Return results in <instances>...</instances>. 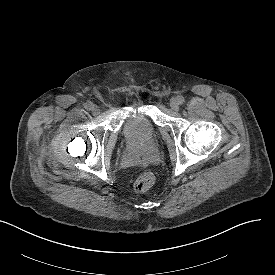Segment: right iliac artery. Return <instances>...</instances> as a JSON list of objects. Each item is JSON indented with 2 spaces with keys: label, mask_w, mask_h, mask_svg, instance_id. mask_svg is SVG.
Returning <instances> with one entry per match:
<instances>
[{
  "label": "right iliac artery",
  "mask_w": 275,
  "mask_h": 275,
  "mask_svg": "<svg viewBox=\"0 0 275 275\" xmlns=\"http://www.w3.org/2000/svg\"><path fill=\"white\" fill-rule=\"evenodd\" d=\"M92 103L91 102H87V103H85V109H87V110H91L92 109Z\"/></svg>",
  "instance_id": "82829eb1"
}]
</instances>
